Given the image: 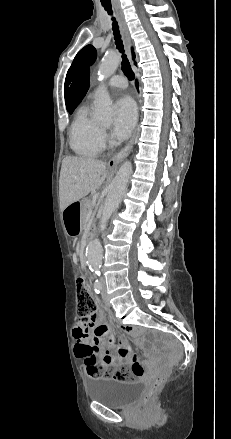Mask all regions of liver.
<instances>
[{
  "instance_id": "liver-1",
  "label": "liver",
  "mask_w": 231,
  "mask_h": 439,
  "mask_svg": "<svg viewBox=\"0 0 231 439\" xmlns=\"http://www.w3.org/2000/svg\"><path fill=\"white\" fill-rule=\"evenodd\" d=\"M106 177V164L103 161L87 157L64 158L59 179L61 211L90 192H95Z\"/></svg>"
}]
</instances>
